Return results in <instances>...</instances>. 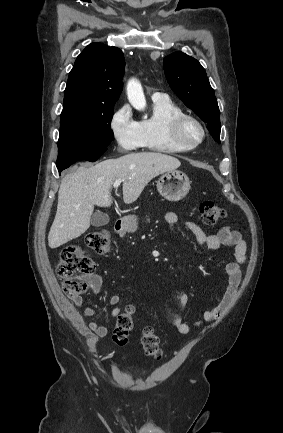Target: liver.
Instances as JSON below:
<instances>
[{"label":"liver","mask_w":283,"mask_h":433,"mask_svg":"<svg viewBox=\"0 0 283 433\" xmlns=\"http://www.w3.org/2000/svg\"><path fill=\"white\" fill-rule=\"evenodd\" d=\"M180 164L178 158L162 152H130L94 166L81 162L76 172L61 180L56 217L48 235L50 249L77 239L89 229L94 204L111 206L110 188L116 178H122L123 200L130 204L154 176L175 170Z\"/></svg>","instance_id":"1"}]
</instances>
